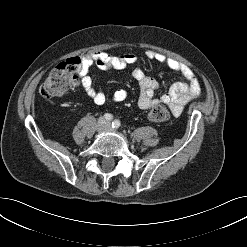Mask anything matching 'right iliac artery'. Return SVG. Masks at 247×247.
I'll return each mask as SVG.
<instances>
[{
	"label": "right iliac artery",
	"mask_w": 247,
	"mask_h": 247,
	"mask_svg": "<svg viewBox=\"0 0 247 247\" xmlns=\"http://www.w3.org/2000/svg\"><path fill=\"white\" fill-rule=\"evenodd\" d=\"M104 118H105L107 121H111V120L113 119V116H112L111 114H109V113H106V114L104 115Z\"/></svg>",
	"instance_id": "obj_1"
}]
</instances>
